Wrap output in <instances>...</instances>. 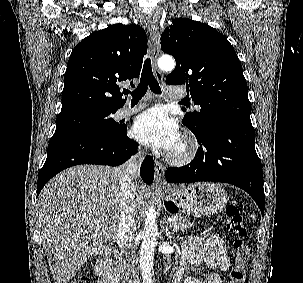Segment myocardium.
<instances>
[{"label": "myocardium", "mask_w": 303, "mask_h": 283, "mask_svg": "<svg viewBox=\"0 0 303 283\" xmlns=\"http://www.w3.org/2000/svg\"><path fill=\"white\" fill-rule=\"evenodd\" d=\"M197 152V142L192 136L183 138L175 150L169 155L170 163L182 166L190 163Z\"/></svg>", "instance_id": "1"}]
</instances>
